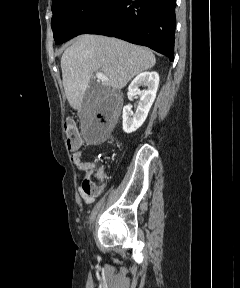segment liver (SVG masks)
Wrapping results in <instances>:
<instances>
[{
	"label": "liver",
	"instance_id": "1",
	"mask_svg": "<svg viewBox=\"0 0 240 288\" xmlns=\"http://www.w3.org/2000/svg\"><path fill=\"white\" fill-rule=\"evenodd\" d=\"M156 58L149 49L101 35H81L61 57L65 94L71 107L81 112L95 72L108 79L102 86L124 88L136 75L151 69Z\"/></svg>",
	"mask_w": 240,
	"mask_h": 288
}]
</instances>
